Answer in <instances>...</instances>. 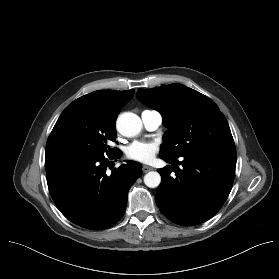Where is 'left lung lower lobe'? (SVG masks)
Segmentation results:
<instances>
[{
	"instance_id": "0a47b994",
	"label": "left lung lower lobe",
	"mask_w": 279,
	"mask_h": 279,
	"mask_svg": "<svg viewBox=\"0 0 279 279\" xmlns=\"http://www.w3.org/2000/svg\"><path fill=\"white\" fill-rule=\"evenodd\" d=\"M177 159L161 157L171 167L159 169L162 181L156 204L170 221L193 226L213 217L226 201L235 176L236 151L211 149L195 151ZM177 165H181L179 168Z\"/></svg>"
}]
</instances>
